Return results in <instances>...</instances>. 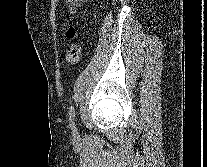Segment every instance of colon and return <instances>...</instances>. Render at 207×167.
I'll use <instances>...</instances> for the list:
<instances>
[{"mask_svg": "<svg viewBox=\"0 0 207 167\" xmlns=\"http://www.w3.org/2000/svg\"><path fill=\"white\" fill-rule=\"evenodd\" d=\"M78 30L75 26H71L67 30V37L72 40V44L66 53V62L69 65H75L80 58L81 48L78 42Z\"/></svg>", "mask_w": 207, "mask_h": 167, "instance_id": "obj_1", "label": "colon"}]
</instances>
